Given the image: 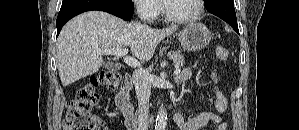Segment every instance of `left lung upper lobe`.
<instances>
[{
  "instance_id": "1",
  "label": "left lung upper lobe",
  "mask_w": 299,
  "mask_h": 130,
  "mask_svg": "<svg viewBox=\"0 0 299 130\" xmlns=\"http://www.w3.org/2000/svg\"><path fill=\"white\" fill-rule=\"evenodd\" d=\"M205 1V3H207L209 0H204Z\"/></svg>"
}]
</instances>
